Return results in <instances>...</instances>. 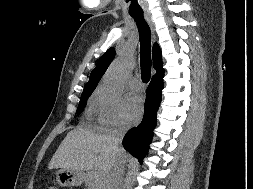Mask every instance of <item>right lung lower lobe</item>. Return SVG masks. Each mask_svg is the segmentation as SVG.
<instances>
[{
    "instance_id": "1",
    "label": "right lung lower lobe",
    "mask_w": 253,
    "mask_h": 189,
    "mask_svg": "<svg viewBox=\"0 0 253 189\" xmlns=\"http://www.w3.org/2000/svg\"><path fill=\"white\" fill-rule=\"evenodd\" d=\"M163 75L153 76L147 88L145 110L142 122L127 132L123 138L125 149L142 163L152 140L156 126V113L161 102Z\"/></svg>"
}]
</instances>
